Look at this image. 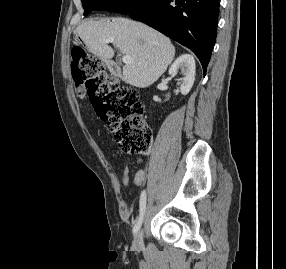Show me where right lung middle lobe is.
Wrapping results in <instances>:
<instances>
[{
	"mask_svg": "<svg viewBox=\"0 0 286 269\" xmlns=\"http://www.w3.org/2000/svg\"><path fill=\"white\" fill-rule=\"evenodd\" d=\"M84 15L92 10H108L121 14L131 15L151 6L156 0H81Z\"/></svg>",
	"mask_w": 286,
	"mask_h": 269,
	"instance_id": "1",
	"label": "right lung middle lobe"
}]
</instances>
